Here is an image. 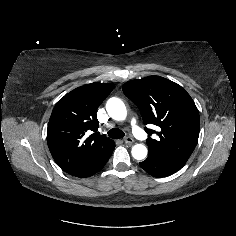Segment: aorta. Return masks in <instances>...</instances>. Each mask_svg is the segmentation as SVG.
I'll use <instances>...</instances> for the list:
<instances>
[{
	"label": "aorta",
	"instance_id": "aorta-1",
	"mask_svg": "<svg viewBox=\"0 0 236 236\" xmlns=\"http://www.w3.org/2000/svg\"><path fill=\"white\" fill-rule=\"evenodd\" d=\"M106 110L109 116L117 121H122L127 116L126 106L119 98L112 97L106 103ZM133 158L136 160H143L147 156V148L143 144H136L131 150Z\"/></svg>",
	"mask_w": 236,
	"mask_h": 236
}]
</instances>
